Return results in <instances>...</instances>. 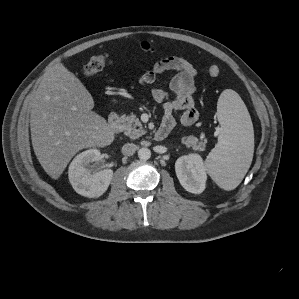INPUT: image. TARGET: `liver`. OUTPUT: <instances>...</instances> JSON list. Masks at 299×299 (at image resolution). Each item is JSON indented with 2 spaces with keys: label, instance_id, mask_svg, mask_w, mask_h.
Segmentation results:
<instances>
[{
  "label": "liver",
  "instance_id": "liver-1",
  "mask_svg": "<svg viewBox=\"0 0 299 299\" xmlns=\"http://www.w3.org/2000/svg\"><path fill=\"white\" fill-rule=\"evenodd\" d=\"M93 107L89 91L63 64L44 74L33 98L30 129L34 153L52 179L78 151L113 142L112 126Z\"/></svg>",
  "mask_w": 299,
  "mask_h": 299
}]
</instances>
